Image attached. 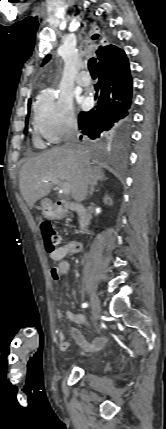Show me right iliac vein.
Segmentation results:
<instances>
[{
	"instance_id": "63e3f726",
	"label": "right iliac vein",
	"mask_w": 166,
	"mask_h": 429,
	"mask_svg": "<svg viewBox=\"0 0 166 429\" xmlns=\"http://www.w3.org/2000/svg\"><path fill=\"white\" fill-rule=\"evenodd\" d=\"M90 300H91V308H92V314L95 321L98 320L99 315L101 313V307L99 300L97 298V295L94 292H91L90 294Z\"/></svg>"
}]
</instances>
